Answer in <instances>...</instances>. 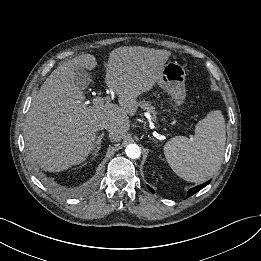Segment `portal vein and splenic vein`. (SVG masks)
Masks as SVG:
<instances>
[{
	"instance_id": "18ae733b",
	"label": "portal vein and splenic vein",
	"mask_w": 261,
	"mask_h": 261,
	"mask_svg": "<svg viewBox=\"0 0 261 261\" xmlns=\"http://www.w3.org/2000/svg\"><path fill=\"white\" fill-rule=\"evenodd\" d=\"M104 103V99L101 97H96L93 99V104L95 105H102Z\"/></svg>"
}]
</instances>
